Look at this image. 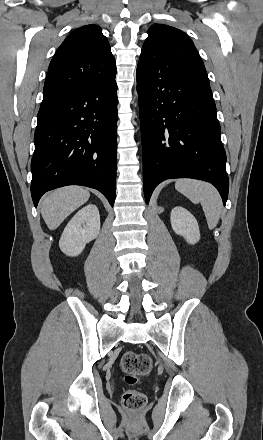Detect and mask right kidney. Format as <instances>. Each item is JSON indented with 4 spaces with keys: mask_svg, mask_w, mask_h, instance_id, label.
Here are the masks:
<instances>
[{
    "mask_svg": "<svg viewBox=\"0 0 263 440\" xmlns=\"http://www.w3.org/2000/svg\"><path fill=\"white\" fill-rule=\"evenodd\" d=\"M100 233V216L96 205L89 204L79 210L65 227L59 247L68 256H77L86 244Z\"/></svg>",
    "mask_w": 263,
    "mask_h": 440,
    "instance_id": "1",
    "label": "right kidney"
}]
</instances>
